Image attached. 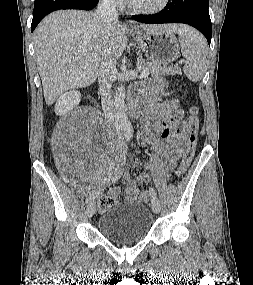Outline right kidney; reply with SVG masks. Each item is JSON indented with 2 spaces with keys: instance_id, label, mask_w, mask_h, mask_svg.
<instances>
[{
  "instance_id": "right-kidney-1",
  "label": "right kidney",
  "mask_w": 253,
  "mask_h": 285,
  "mask_svg": "<svg viewBox=\"0 0 253 285\" xmlns=\"http://www.w3.org/2000/svg\"><path fill=\"white\" fill-rule=\"evenodd\" d=\"M81 95L78 91H69L61 95L55 105V113L57 115H65L79 104Z\"/></svg>"
}]
</instances>
